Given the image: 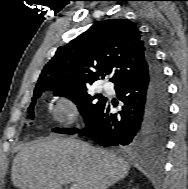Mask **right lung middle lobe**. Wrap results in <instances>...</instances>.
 Here are the masks:
<instances>
[{"instance_id":"obj_1","label":"right lung middle lobe","mask_w":188,"mask_h":189,"mask_svg":"<svg viewBox=\"0 0 188 189\" xmlns=\"http://www.w3.org/2000/svg\"><path fill=\"white\" fill-rule=\"evenodd\" d=\"M52 90L54 91V94L56 96H65L71 99L74 103H76L86 124L92 119V117L96 114V112L99 110V108L102 106V104L105 101V98H99V100L96 101L95 99L98 97L97 96L93 97L90 94H88L87 88H83V89L56 88ZM42 92L43 91L34 93L32 103L28 108V113H29L28 118H31V119L34 118V105H35L36 99L40 97ZM53 131L56 133H62V134H75L79 130L77 128H74V129L55 128L53 129Z\"/></svg>"}]
</instances>
